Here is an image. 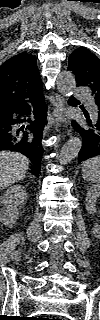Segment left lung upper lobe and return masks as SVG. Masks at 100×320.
I'll return each instance as SVG.
<instances>
[{
	"instance_id": "1",
	"label": "left lung upper lobe",
	"mask_w": 100,
	"mask_h": 320,
	"mask_svg": "<svg viewBox=\"0 0 100 320\" xmlns=\"http://www.w3.org/2000/svg\"><path fill=\"white\" fill-rule=\"evenodd\" d=\"M68 69L76 76L77 86L89 87L100 108V60L87 48H77L68 59Z\"/></svg>"
}]
</instances>
